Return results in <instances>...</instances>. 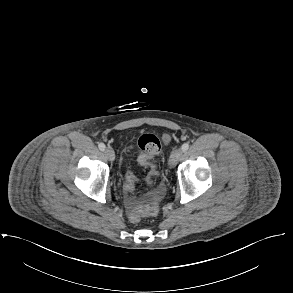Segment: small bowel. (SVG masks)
Masks as SVG:
<instances>
[{"instance_id":"1","label":"small bowel","mask_w":293,"mask_h":293,"mask_svg":"<svg viewBox=\"0 0 293 293\" xmlns=\"http://www.w3.org/2000/svg\"><path fill=\"white\" fill-rule=\"evenodd\" d=\"M131 190H125L126 193H129ZM125 204H126V209L127 211L130 213V211L133 209L134 207V202L132 200V198L130 197H126V201H125Z\"/></svg>"}]
</instances>
